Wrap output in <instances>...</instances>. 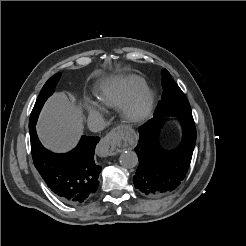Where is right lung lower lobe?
<instances>
[{"label": "right lung lower lobe", "instance_id": "right-lung-lower-lobe-1", "mask_svg": "<svg viewBox=\"0 0 246 246\" xmlns=\"http://www.w3.org/2000/svg\"><path fill=\"white\" fill-rule=\"evenodd\" d=\"M34 165L48 187L64 203L79 204L93 196L99 185L101 167L94 161L99 137L82 136L65 154H55L40 143L35 126L29 128Z\"/></svg>", "mask_w": 246, "mask_h": 246}]
</instances>
